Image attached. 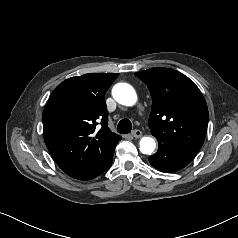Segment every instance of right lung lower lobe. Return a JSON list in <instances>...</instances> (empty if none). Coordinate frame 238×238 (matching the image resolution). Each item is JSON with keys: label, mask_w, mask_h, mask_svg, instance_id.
I'll return each instance as SVG.
<instances>
[{"label": "right lung lower lobe", "mask_w": 238, "mask_h": 238, "mask_svg": "<svg viewBox=\"0 0 238 238\" xmlns=\"http://www.w3.org/2000/svg\"><path fill=\"white\" fill-rule=\"evenodd\" d=\"M114 153V152H113ZM112 161H113V154L107 158V160L105 161V163L103 164V168H102V171L101 173H103L104 171H106L112 164ZM100 173V174H101ZM99 174V175H100ZM98 176V175H97Z\"/></svg>", "instance_id": "98d812e1"}]
</instances>
